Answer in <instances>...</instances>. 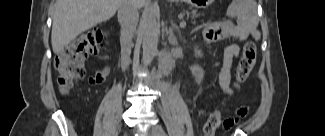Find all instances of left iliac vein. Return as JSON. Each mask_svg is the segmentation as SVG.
Wrapping results in <instances>:
<instances>
[{
  "mask_svg": "<svg viewBox=\"0 0 325 136\" xmlns=\"http://www.w3.org/2000/svg\"><path fill=\"white\" fill-rule=\"evenodd\" d=\"M161 126H159V125H154V126H152L151 127V129H150V131H149V134H150V136H159V128H160Z\"/></svg>",
  "mask_w": 325,
  "mask_h": 136,
  "instance_id": "4c4485c4",
  "label": "left iliac vein"
}]
</instances>
